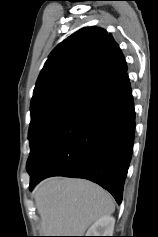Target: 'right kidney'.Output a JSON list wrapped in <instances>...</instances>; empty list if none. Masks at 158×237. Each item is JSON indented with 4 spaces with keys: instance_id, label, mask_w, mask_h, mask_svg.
Masks as SVG:
<instances>
[{
    "instance_id": "ca27d5eb",
    "label": "right kidney",
    "mask_w": 158,
    "mask_h": 237,
    "mask_svg": "<svg viewBox=\"0 0 158 237\" xmlns=\"http://www.w3.org/2000/svg\"><path fill=\"white\" fill-rule=\"evenodd\" d=\"M114 224V217L103 216L88 229L85 236H112Z\"/></svg>"
}]
</instances>
